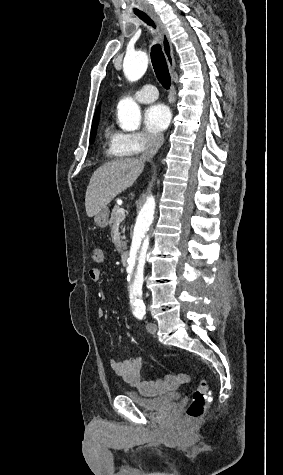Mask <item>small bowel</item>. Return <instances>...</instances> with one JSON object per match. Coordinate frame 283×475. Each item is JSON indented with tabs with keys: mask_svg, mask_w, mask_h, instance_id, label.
<instances>
[{
	"mask_svg": "<svg viewBox=\"0 0 283 475\" xmlns=\"http://www.w3.org/2000/svg\"><path fill=\"white\" fill-rule=\"evenodd\" d=\"M102 271L100 268H92L89 270V278L93 282H98L101 279ZM97 315L99 318H104L106 315V312L104 309L99 308L97 311ZM143 365V361L141 357L138 356H133L130 358H127L125 360H119L116 358H112L110 360V366L111 369L119 375L125 382L130 384L131 386L137 388V389H144L145 388V381L142 380L141 378V368ZM178 378L180 383H188V381H183L187 378V373L185 371H180L178 373ZM163 382V379L161 377H156L155 378V383L156 384H161ZM166 383L167 384H173L174 383V378H173V373L172 372H167L166 373Z\"/></svg>",
	"mask_w": 283,
	"mask_h": 475,
	"instance_id": "small-bowel-1",
	"label": "small bowel"
}]
</instances>
